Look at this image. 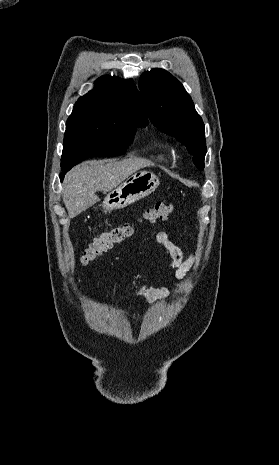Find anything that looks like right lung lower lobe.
<instances>
[{"instance_id":"right-lung-lower-lobe-1","label":"right lung lower lobe","mask_w":279,"mask_h":465,"mask_svg":"<svg viewBox=\"0 0 279 465\" xmlns=\"http://www.w3.org/2000/svg\"><path fill=\"white\" fill-rule=\"evenodd\" d=\"M69 170H70V169H65V170L62 171V173L60 174V179H61V181L63 180L64 175L66 174V172L69 171Z\"/></svg>"}]
</instances>
